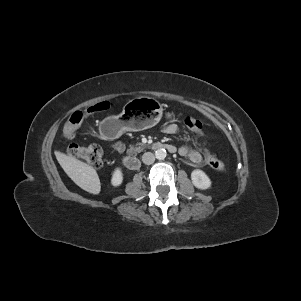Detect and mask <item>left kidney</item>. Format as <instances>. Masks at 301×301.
I'll return each instance as SVG.
<instances>
[{"mask_svg": "<svg viewBox=\"0 0 301 301\" xmlns=\"http://www.w3.org/2000/svg\"><path fill=\"white\" fill-rule=\"evenodd\" d=\"M191 180L193 185L201 190H206L211 186V180L202 170L196 169L191 173Z\"/></svg>", "mask_w": 301, "mask_h": 301, "instance_id": "5707ae66", "label": "left kidney"}]
</instances>
